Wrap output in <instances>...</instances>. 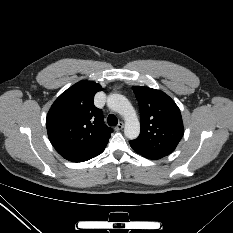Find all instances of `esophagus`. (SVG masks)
Listing matches in <instances>:
<instances>
[{"label": "esophagus", "instance_id": "34e87169", "mask_svg": "<svg viewBox=\"0 0 233 233\" xmlns=\"http://www.w3.org/2000/svg\"><path fill=\"white\" fill-rule=\"evenodd\" d=\"M124 127V123L123 122H119L118 125L115 127L116 131L121 130Z\"/></svg>", "mask_w": 233, "mask_h": 233}]
</instances>
